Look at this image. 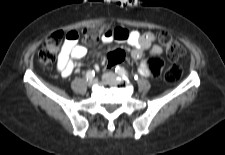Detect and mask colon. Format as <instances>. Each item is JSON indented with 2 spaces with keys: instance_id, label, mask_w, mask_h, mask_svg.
I'll use <instances>...</instances> for the list:
<instances>
[{
  "instance_id": "1",
  "label": "colon",
  "mask_w": 225,
  "mask_h": 155,
  "mask_svg": "<svg viewBox=\"0 0 225 155\" xmlns=\"http://www.w3.org/2000/svg\"><path fill=\"white\" fill-rule=\"evenodd\" d=\"M111 30L112 28L107 23L101 22L86 26L81 34L86 43L94 44ZM63 40H66V34L62 31H56L46 38L38 52V61L41 66L45 67L55 60ZM158 40L171 61H176L182 57L184 53L182 46L169 34H160ZM108 59L111 64L124 62L126 60V53L121 47H114L108 52ZM165 67L166 62L164 59L151 57L147 63L141 66V73L143 75H151L154 79H159L163 75L165 82L169 84L177 83L182 77L181 67L176 64L166 69Z\"/></svg>"
}]
</instances>
